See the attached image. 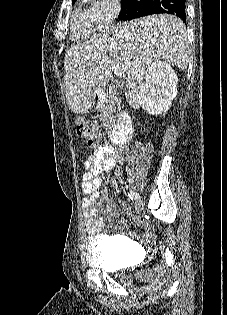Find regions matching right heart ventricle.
I'll list each match as a JSON object with an SVG mask.
<instances>
[{
  "label": "right heart ventricle",
  "mask_w": 227,
  "mask_h": 315,
  "mask_svg": "<svg viewBox=\"0 0 227 315\" xmlns=\"http://www.w3.org/2000/svg\"><path fill=\"white\" fill-rule=\"evenodd\" d=\"M71 28L78 38H86L95 32L96 25L89 8L77 6L71 14Z\"/></svg>",
  "instance_id": "right-heart-ventricle-1"
}]
</instances>
